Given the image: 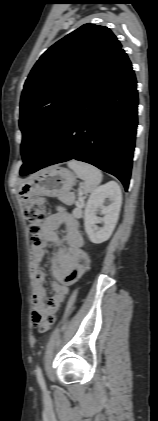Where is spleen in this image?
I'll return each instance as SVG.
<instances>
[{
	"mask_svg": "<svg viewBox=\"0 0 158 421\" xmlns=\"http://www.w3.org/2000/svg\"><path fill=\"white\" fill-rule=\"evenodd\" d=\"M68 167L83 180L80 188L86 193H93L102 181L101 171L91 164L77 160H71L68 162Z\"/></svg>",
	"mask_w": 158,
	"mask_h": 421,
	"instance_id": "obj_1",
	"label": "spleen"
}]
</instances>
